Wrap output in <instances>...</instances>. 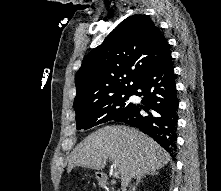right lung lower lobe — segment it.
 Returning <instances> with one entry per match:
<instances>
[{
  "label": "right lung lower lobe",
  "mask_w": 221,
  "mask_h": 191,
  "mask_svg": "<svg viewBox=\"0 0 221 191\" xmlns=\"http://www.w3.org/2000/svg\"><path fill=\"white\" fill-rule=\"evenodd\" d=\"M133 95L142 97L143 105L133 104L120 122L139 128L173 157L179 101L170 52L142 77Z\"/></svg>",
  "instance_id": "98d812e1"
}]
</instances>
